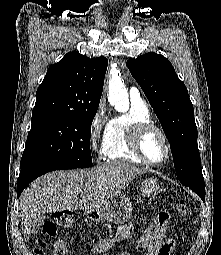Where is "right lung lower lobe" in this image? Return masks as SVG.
I'll use <instances>...</instances> for the list:
<instances>
[{
  "label": "right lung lower lobe",
  "mask_w": 221,
  "mask_h": 255,
  "mask_svg": "<svg viewBox=\"0 0 221 255\" xmlns=\"http://www.w3.org/2000/svg\"><path fill=\"white\" fill-rule=\"evenodd\" d=\"M76 169V167L62 166L48 163H27L21 167L17 183V197L24 188L37 177L54 170Z\"/></svg>",
  "instance_id": "1"
}]
</instances>
